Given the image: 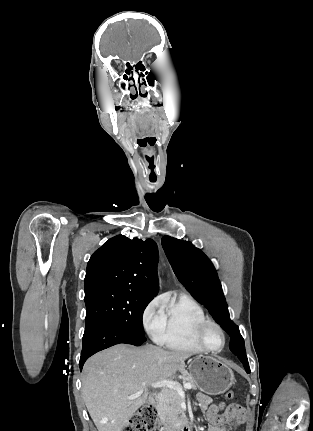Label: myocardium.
<instances>
[{"label": "myocardium", "instance_id": "f54148a6", "mask_svg": "<svg viewBox=\"0 0 313 431\" xmlns=\"http://www.w3.org/2000/svg\"><path fill=\"white\" fill-rule=\"evenodd\" d=\"M208 326H214L220 332L221 337H222V344H221V346L219 348L213 349V348L208 347L205 344V342L203 340V333H204L205 329ZM195 341L197 342V344L204 351H207V352H219V351H221L225 347V344H226V335H225V332H224L223 328L221 327V325L218 322H216V321H214L212 319L206 318L196 328V331H195Z\"/></svg>", "mask_w": 313, "mask_h": 431}]
</instances>
